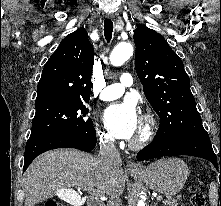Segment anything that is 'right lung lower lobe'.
Masks as SVG:
<instances>
[{"label": "right lung lower lobe", "mask_w": 221, "mask_h": 206, "mask_svg": "<svg viewBox=\"0 0 221 206\" xmlns=\"http://www.w3.org/2000/svg\"><path fill=\"white\" fill-rule=\"evenodd\" d=\"M95 146V129L89 132L53 133L29 138L25 147L23 171L38 155L45 151L56 148H76L91 151Z\"/></svg>", "instance_id": "obj_1"}]
</instances>
